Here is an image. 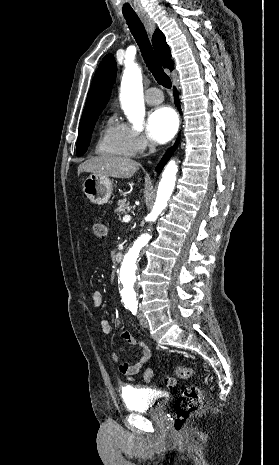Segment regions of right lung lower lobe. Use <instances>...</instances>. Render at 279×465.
<instances>
[{
    "label": "right lung lower lobe",
    "mask_w": 279,
    "mask_h": 465,
    "mask_svg": "<svg viewBox=\"0 0 279 465\" xmlns=\"http://www.w3.org/2000/svg\"><path fill=\"white\" fill-rule=\"evenodd\" d=\"M174 97H175L174 100H175L176 105H179V98H178L179 96H178V93H177L176 91L174 92ZM178 143H179V138H178V140L176 141L174 147H173L171 150H169V151L166 152V154H165L164 157L162 158V161L158 164V166H157V168H156L157 171L160 172V171L162 170V168L164 167V165L166 164V162L169 160V158L171 157L172 153H173L174 150L176 149Z\"/></svg>",
    "instance_id": "98d812e1"
}]
</instances>
